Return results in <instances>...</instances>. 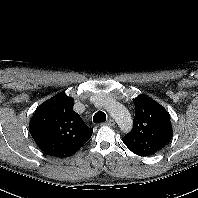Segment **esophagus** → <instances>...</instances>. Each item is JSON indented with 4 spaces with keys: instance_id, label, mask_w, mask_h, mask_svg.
<instances>
[{
    "instance_id": "esophagus-1",
    "label": "esophagus",
    "mask_w": 198,
    "mask_h": 198,
    "mask_svg": "<svg viewBox=\"0 0 198 198\" xmlns=\"http://www.w3.org/2000/svg\"><path fill=\"white\" fill-rule=\"evenodd\" d=\"M103 125H107V126H114L115 122L113 119H109L107 120V122H105Z\"/></svg>"
}]
</instances>
